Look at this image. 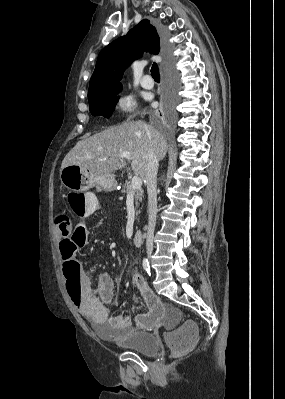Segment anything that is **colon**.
Segmentation results:
<instances>
[{
  "label": "colon",
  "instance_id": "1",
  "mask_svg": "<svg viewBox=\"0 0 285 399\" xmlns=\"http://www.w3.org/2000/svg\"><path fill=\"white\" fill-rule=\"evenodd\" d=\"M68 200L72 210L81 215L87 201L86 193L70 194ZM55 223L64 231V237L59 242L60 258L63 261L64 275L69 278L67 283L68 293L77 302L79 286L73 280L71 271L73 270L77 249L89 240L90 233L83 222H74L65 213H60L56 217ZM165 338L169 343L172 356L177 357L191 351L198 340V329L194 323L186 322L175 330L167 332Z\"/></svg>",
  "mask_w": 285,
  "mask_h": 399
}]
</instances>
